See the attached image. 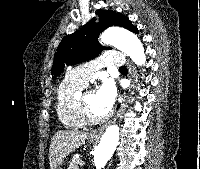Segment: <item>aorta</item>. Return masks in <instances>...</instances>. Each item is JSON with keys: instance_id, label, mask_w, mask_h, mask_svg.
<instances>
[{"instance_id": "762f6f07", "label": "aorta", "mask_w": 200, "mask_h": 169, "mask_svg": "<svg viewBox=\"0 0 200 169\" xmlns=\"http://www.w3.org/2000/svg\"><path fill=\"white\" fill-rule=\"evenodd\" d=\"M103 45H111L127 54L133 62L145 65L146 55L143 45L138 37L130 32L117 29H108L100 37ZM120 129L117 125L108 126L102 135L100 144L94 153V165L96 169H102L107 164L116 150Z\"/></svg>"}]
</instances>
